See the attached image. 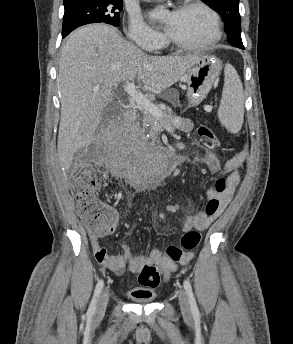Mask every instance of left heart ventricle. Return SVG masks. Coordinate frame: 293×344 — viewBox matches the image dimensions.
<instances>
[{
    "instance_id": "obj_1",
    "label": "left heart ventricle",
    "mask_w": 293,
    "mask_h": 344,
    "mask_svg": "<svg viewBox=\"0 0 293 344\" xmlns=\"http://www.w3.org/2000/svg\"><path fill=\"white\" fill-rule=\"evenodd\" d=\"M164 26L170 36L189 44L205 42L213 34L210 16L199 8L169 13L164 19Z\"/></svg>"
}]
</instances>
